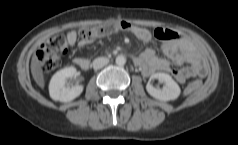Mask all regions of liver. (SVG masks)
<instances>
[{
    "mask_svg": "<svg viewBox=\"0 0 238 145\" xmlns=\"http://www.w3.org/2000/svg\"><path fill=\"white\" fill-rule=\"evenodd\" d=\"M30 67H31V73L35 82L40 88H44L45 81H44L43 70L41 68L40 60L38 59L36 54L32 56Z\"/></svg>",
    "mask_w": 238,
    "mask_h": 145,
    "instance_id": "obj_1",
    "label": "liver"
}]
</instances>
